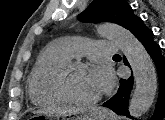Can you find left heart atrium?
<instances>
[{
	"label": "left heart atrium",
	"mask_w": 165,
	"mask_h": 120,
	"mask_svg": "<svg viewBox=\"0 0 165 120\" xmlns=\"http://www.w3.org/2000/svg\"><path fill=\"white\" fill-rule=\"evenodd\" d=\"M90 72L101 93L111 89L113 77L106 66L96 65L90 70Z\"/></svg>",
	"instance_id": "39dd6f15"
}]
</instances>
